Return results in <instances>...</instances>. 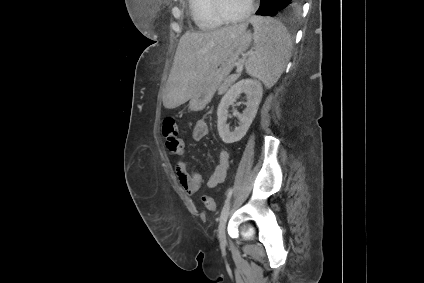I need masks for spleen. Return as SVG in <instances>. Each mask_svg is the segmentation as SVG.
Listing matches in <instances>:
<instances>
[{
    "label": "spleen",
    "instance_id": "3e777b00",
    "mask_svg": "<svg viewBox=\"0 0 424 283\" xmlns=\"http://www.w3.org/2000/svg\"><path fill=\"white\" fill-rule=\"evenodd\" d=\"M254 53L245 62L248 75L271 88L282 75L291 57L292 41L287 29L277 20L254 16Z\"/></svg>",
    "mask_w": 424,
    "mask_h": 283
}]
</instances>
